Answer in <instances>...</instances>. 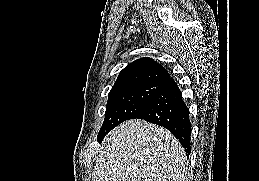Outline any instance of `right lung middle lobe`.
Segmentation results:
<instances>
[{"mask_svg": "<svg viewBox=\"0 0 259 181\" xmlns=\"http://www.w3.org/2000/svg\"><path fill=\"white\" fill-rule=\"evenodd\" d=\"M160 85L138 84L112 88L108 94L105 119L98 136L134 116L152 99Z\"/></svg>", "mask_w": 259, "mask_h": 181, "instance_id": "obj_1", "label": "right lung middle lobe"}]
</instances>
